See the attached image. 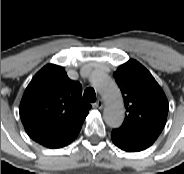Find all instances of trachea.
<instances>
[{
  "label": "trachea",
  "mask_w": 184,
  "mask_h": 174,
  "mask_svg": "<svg viewBox=\"0 0 184 174\" xmlns=\"http://www.w3.org/2000/svg\"><path fill=\"white\" fill-rule=\"evenodd\" d=\"M84 99L88 102L96 101V94L93 88L89 87L84 91Z\"/></svg>",
  "instance_id": "obj_1"
}]
</instances>
